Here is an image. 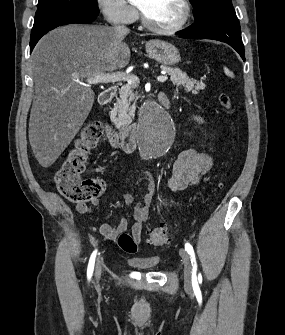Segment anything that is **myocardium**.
Segmentation results:
<instances>
[{
  "label": "myocardium",
  "instance_id": "f54148a6",
  "mask_svg": "<svg viewBox=\"0 0 285 335\" xmlns=\"http://www.w3.org/2000/svg\"><path fill=\"white\" fill-rule=\"evenodd\" d=\"M178 3L183 7L184 9V16L182 20L175 25L174 27L170 28H159L154 26L147 18L144 8L141 3L137 4V8L139 10L140 14V22L141 25L143 26L144 29L147 31L153 33V34H158V35H169V34H175L180 32L181 30L184 29V27L187 25L191 18V6L188 1H178Z\"/></svg>",
  "mask_w": 285,
  "mask_h": 335
}]
</instances>
